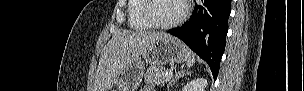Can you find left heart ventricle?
I'll return each instance as SVG.
<instances>
[{"label": "left heart ventricle", "instance_id": "b2bd125f", "mask_svg": "<svg viewBox=\"0 0 304 91\" xmlns=\"http://www.w3.org/2000/svg\"><path fill=\"white\" fill-rule=\"evenodd\" d=\"M180 0H154L151 6V15L158 23H169L182 13Z\"/></svg>", "mask_w": 304, "mask_h": 91}]
</instances>
